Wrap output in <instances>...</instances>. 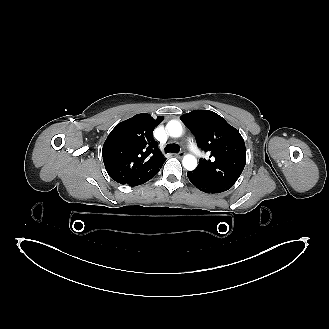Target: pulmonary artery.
Masks as SVG:
<instances>
[{
    "label": "pulmonary artery",
    "mask_w": 329,
    "mask_h": 329,
    "mask_svg": "<svg viewBox=\"0 0 329 329\" xmlns=\"http://www.w3.org/2000/svg\"><path fill=\"white\" fill-rule=\"evenodd\" d=\"M188 147L190 149V151L196 155V156H201V152L199 151V149L196 147L195 143L193 142L192 139H189L188 141Z\"/></svg>",
    "instance_id": "pulmonary-artery-1"
}]
</instances>
